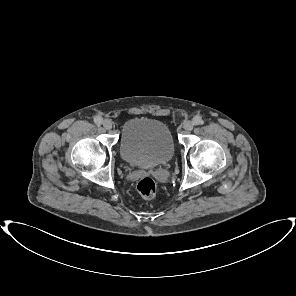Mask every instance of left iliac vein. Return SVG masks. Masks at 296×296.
I'll list each match as a JSON object with an SVG mask.
<instances>
[{"label":"left iliac vein","mask_w":296,"mask_h":296,"mask_svg":"<svg viewBox=\"0 0 296 296\" xmlns=\"http://www.w3.org/2000/svg\"><path fill=\"white\" fill-rule=\"evenodd\" d=\"M193 127H194V123L192 121H187L183 126L184 130L187 132L191 131Z\"/></svg>","instance_id":"1"}]
</instances>
